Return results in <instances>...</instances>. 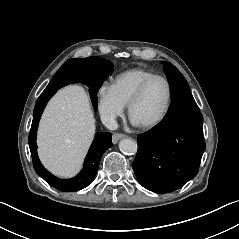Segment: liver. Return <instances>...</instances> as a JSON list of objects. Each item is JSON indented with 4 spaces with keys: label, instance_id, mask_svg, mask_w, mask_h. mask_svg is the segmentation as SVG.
<instances>
[{
    "label": "liver",
    "instance_id": "1",
    "mask_svg": "<svg viewBox=\"0 0 239 239\" xmlns=\"http://www.w3.org/2000/svg\"><path fill=\"white\" fill-rule=\"evenodd\" d=\"M95 119L84 88L69 85L48 102L41 117L37 145L43 165L61 178L74 176L93 141Z\"/></svg>",
    "mask_w": 239,
    "mask_h": 239
}]
</instances>
